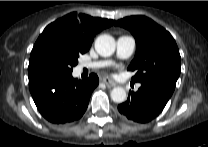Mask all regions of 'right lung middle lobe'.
Here are the masks:
<instances>
[{
  "mask_svg": "<svg viewBox=\"0 0 208 147\" xmlns=\"http://www.w3.org/2000/svg\"><path fill=\"white\" fill-rule=\"evenodd\" d=\"M80 54L82 53L69 48H59L49 52L44 58L46 75L71 74Z\"/></svg>",
  "mask_w": 208,
  "mask_h": 147,
  "instance_id": "obj_1",
  "label": "right lung middle lobe"
}]
</instances>
